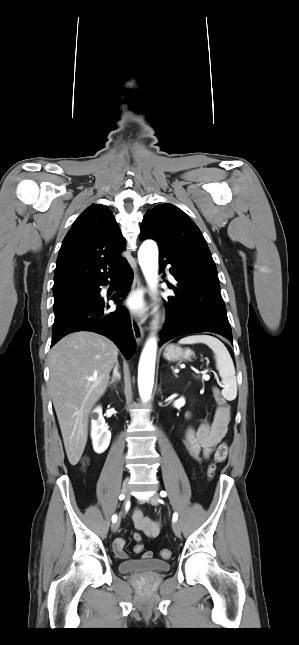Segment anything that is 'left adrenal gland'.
Instances as JSON below:
<instances>
[{"label": "left adrenal gland", "instance_id": "a2214340", "mask_svg": "<svg viewBox=\"0 0 299 645\" xmlns=\"http://www.w3.org/2000/svg\"><path fill=\"white\" fill-rule=\"evenodd\" d=\"M171 369H172V371H173V374L176 376V373H175V371H174V367H173V366L171 367Z\"/></svg>", "mask_w": 299, "mask_h": 645}]
</instances>
